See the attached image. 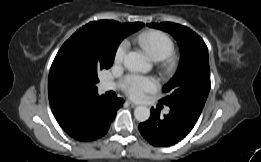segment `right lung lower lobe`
Instances as JSON below:
<instances>
[{"label": "right lung lower lobe", "instance_id": "1", "mask_svg": "<svg viewBox=\"0 0 261 162\" xmlns=\"http://www.w3.org/2000/svg\"><path fill=\"white\" fill-rule=\"evenodd\" d=\"M124 100H110L98 93L56 117L64 131L76 140L87 142L104 136Z\"/></svg>", "mask_w": 261, "mask_h": 162}]
</instances>
